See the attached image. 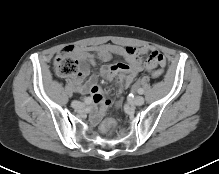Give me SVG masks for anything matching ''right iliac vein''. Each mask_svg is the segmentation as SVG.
Wrapping results in <instances>:
<instances>
[{"mask_svg": "<svg viewBox=\"0 0 219 174\" xmlns=\"http://www.w3.org/2000/svg\"><path fill=\"white\" fill-rule=\"evenodd\" d=\"M72 107L75 109H82V108H84V104L79 102V101H73Z\"/></svg>", "mask_w": 219, "mask_h": 174, "instance_id": "63e3f726", "label": "right iliac vein"}]
</instances>
